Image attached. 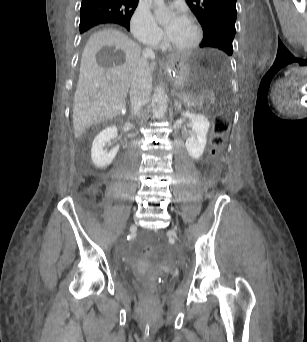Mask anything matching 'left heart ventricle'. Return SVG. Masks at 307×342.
Returning <instances> with one entry per match:
<instances>
[{"label":"left heart ventricle","mask_w":307,"mask_h":342,"mask_svg":"<svg viewBox=\"0 0 307 342\" xmlns=\"http://www.w3.org/2000/svg\"><path fill=\"white\" fill-rule=\"evenodd\" d=\"M193 38V32L188 24H186L180 35L172 42L168 43L171 49H181L186 47Z\"/></svg>","instance_id":"obj_1"}]
</instances>
